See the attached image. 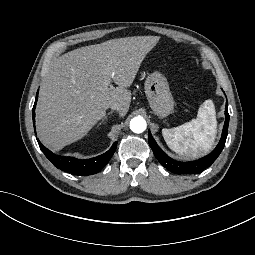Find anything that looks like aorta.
<instances>
[{"label": "aorta", "instance_id": "1", "mask_svg": "<svg viewBox=\"0 0 255 255\" xmlns=\"http://www.w3.org/2000/svg\"><path fill=\"white\" fill-rule=\"evenodd\" d=\"M147 124L143 117H135L130 121V129L134 133H142L146 130Z\"/></svg>", "mask_w": 255, "mask_h": 255}]
</instances>
